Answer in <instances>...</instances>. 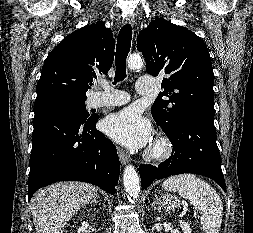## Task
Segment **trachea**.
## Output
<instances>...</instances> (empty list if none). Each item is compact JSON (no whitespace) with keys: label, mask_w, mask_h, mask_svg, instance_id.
<instances>
[{"label":"trachea","mask_w":253,"mask_h":233,"mask_svg":"<svg viewBox=\"0 0 253 233\" xmlns=\"http://www.w3.org/2000/svg\"><path fill=\"white\" fill-rule=\"evenodd\" d=\"M132 39V27L130 24L124 25L118 35L117 48L115 56V78L114 83L126 78V58L128 56Z\"/></svg>","instance_id":"3493384b"}]
</instances>
